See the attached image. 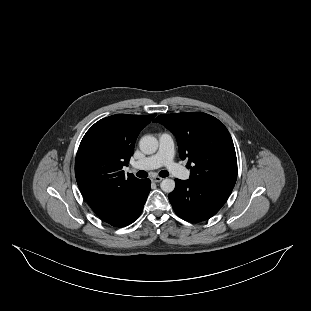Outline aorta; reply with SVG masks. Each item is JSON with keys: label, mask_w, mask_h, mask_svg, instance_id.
<instances>
[{"label": "aorta", "mask_w": 311, "mask_h": 311, "mask_svg": "<svg viewBox=\"0 0 311 311\" xmlns=\"http://www.w3.org/2000/svg\"><path fill=\"white\" fill-rule=\"evenodd\" d=\"M159 146V142L153 135H145L139 141L140 150L147 155L154 154ZM175 181L170 178H165L161 182V189L164 192L170 193L175 189Z\"/></svg>", "instance_id": "obj_1"}]
</instances>
